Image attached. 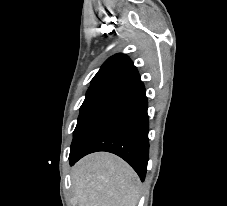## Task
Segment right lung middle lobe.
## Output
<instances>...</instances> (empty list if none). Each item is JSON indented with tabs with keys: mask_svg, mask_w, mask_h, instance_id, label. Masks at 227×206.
I'll use <instances>...</instances> for the list:
<instances>
[{
	"mask_svg": "<svg viewBox=\"0 0 227 206\" xmlns=\"http://www.w3.org/2000/svg\"><path fill=\"white\" fill-rule=\"evenodd\" d=\"M129 86V83L119 81L91 84L80 108L70 154L77 148L103 111L124 95L128 91Z\"/></svg>",
	"mask_w": 227,
	"mask_h": 206,
	"instance_id": "obj_1",
	"label": "right lung middle lobe"
}]
</instances>
